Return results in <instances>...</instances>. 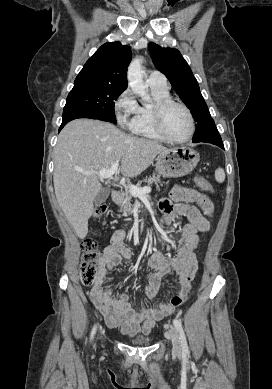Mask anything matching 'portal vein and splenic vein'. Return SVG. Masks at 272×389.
Returning a JSON list of instances; mask_svg holds the SVG:
<instances>
[{
	"instance_id": "18ae733b",
	"label": "portal vein and splenic vein",
	"mask_w": 272,
	"mask_h": 389,
	"mask_svg": "<svg viewBox=\"0 0 272 389\" xmlns=\"http://www.w3.org/2000/svg\"><path fill=\"white\" fill-rule=\"evenodd\" d=\"M118 166H119V161H116L115 163L112 164V166L109 169H101L96 172H85L84 174L87 176L96 174L101 178H110L118 171ZM128 188L130 194L134 197H142L151 192L150 187L139 188L134 185H129Z\"/></svg>"
}]
</instances>
